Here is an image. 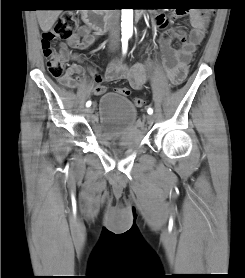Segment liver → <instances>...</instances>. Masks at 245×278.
Segmentation results:
<instances>
[{
	"label": "liver",
	"instance_id": "6515ba94",
	"mask_svg": "<svg viewBox=\"0 0 245 278\" xmlns=\"http://www.w3.org/2000/svg\"><path fill=\"white\" fill-rule=\"evenodd\" d=\"M36 14L41 30L46 33L58 19L61 10H37Z\"/></svg>",
	"mask_w": 245,
	"mask_h": 278
}]
</instances>
